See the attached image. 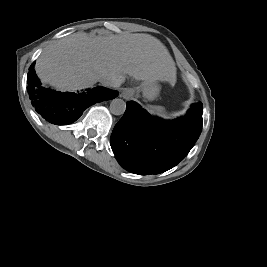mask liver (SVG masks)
<instances>
[{
	"instance_id": "1",
	"label": "liver",
	"mask_w": 267,
	"mask_h": 267,
	"mask_svg": "<svg viewBox=\"0 0 267 267\" xmlns=\"http://www.w3.org/2000/svg\"><path fill=\"white\" fill-rule=\"evenodd\" d=\"M43 83L62 91L93 86L102 75L115 87L132 77L136 81L169 82L176 79L175 63L166 47L149 34L92 37L77 32L48 45L36 61Z\"/></svg>"
}]
</instances>
